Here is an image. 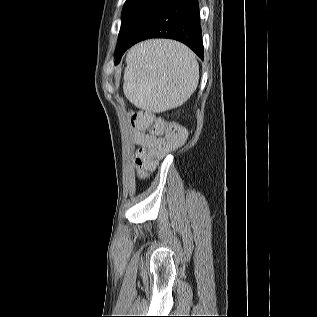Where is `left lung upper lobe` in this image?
Here are the masks:
<instances>
[{
	"mask_svg": "<svg viewBox=\"0 0 317 317\" xmlns=\"http://www.w3.org/2000/svg\"><path fill=\"white\" fill-rule=\"evenodd\" d=\"M166 0H127L122 13L118 45L130 41Z\"/></svg>",
	"mask_w": 317,
	"mask_h": 317,
	"instance_id": "left-lung-upper-lobe-1",
	"label": "left lung upper lobe"
}]
</instances>
